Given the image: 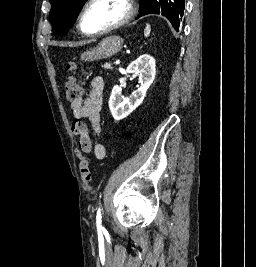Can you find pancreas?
Listing matches in <instances>:
<instances>
[{
	"mask_svg": "<svg viewBox=\"0 0 256 267\" xmlns=\"http://www.w3.org/2000/svg\"><path fill=\"white\" fill-rule=\"evenodd\" d=\"M103 68H106V70H111L110 64H104Z\"/></svg>",
	"mask_w": 256,
	"mask_h": 267,
	"instance_id": "cf45deb5",
	"label": "pancreas"
}]
</instances>
